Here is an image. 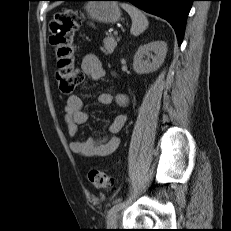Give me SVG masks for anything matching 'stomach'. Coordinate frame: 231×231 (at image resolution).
Masks as SVG:
<instances>
[{
    "label": "stomach",
    "mask_w": 231,
    "mask_h": 231,
    "mask_svg": "<svg viewBox=\"0 0 231 231\" xmlns=\"http://www.w3.org/2000/svg\"><path fill=\"white\" fill-rule=\"evenodd\" d=\"M88 16L102 23H116L121 18V11L116 2L95 0L85 6Z\"/></svg>",
    "instance_id": "1"
}]
</instances>
